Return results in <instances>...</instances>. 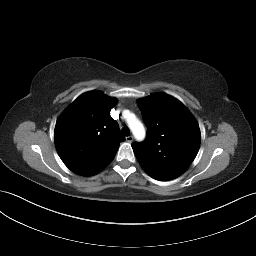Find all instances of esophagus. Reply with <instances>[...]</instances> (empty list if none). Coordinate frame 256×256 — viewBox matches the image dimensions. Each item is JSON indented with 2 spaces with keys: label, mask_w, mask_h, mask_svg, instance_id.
Masks as SVG:
<instances>
[{
  "label": "esophagus",
  "mask_w": 256,
  "mask_h": 256,
  "mask_svg": "<svg viewBox=\"0 0 256 256\" xmlns=\"http://www.w3.org/2000/svg\"><path fill=\"white\" fill-rule=\"evenodd\" d=\"M126 141L129 142V143H131V142L133 141V136H132V135L127 136V137H126Z\"/></svg>",
  "instance_id": "esophagus-1"
}]
</instances>
